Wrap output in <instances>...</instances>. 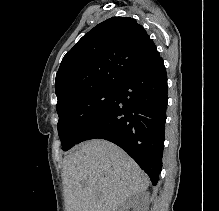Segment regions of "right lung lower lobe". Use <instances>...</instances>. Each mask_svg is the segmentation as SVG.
Listing matches in <instances>:
<instances>
[{
	"label": "right lung lower lobe",
	"mask_w": 219,
	"mask_h": 211,
	"mask_svg": "<svg viewBox=\"0 0 219 211\" xmlns=\"http://www.w3.org/2000/svg\"><path fill=\"white\" fill-rule=\"evenodd\" d=\"M115 90L111 105L82 133L78 143L95 138L115 143L155 185L162 168L168 102L162 58L159 56L128 74Z\"/></svg>",
	"instance_id": "1"
}]
</instances>
